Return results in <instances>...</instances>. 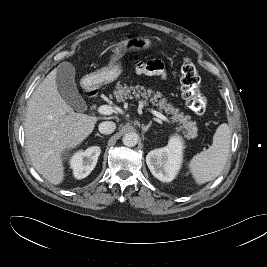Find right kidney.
<instances>
[{"label": "right kidney", "instance_id": "ca27d5eb", "mask_svg": "<svg viewBox=\"0 0 267 267\" xmlns=\"http://www.w3.org/2000/svg\"><path fill=\"white\" fill-rule=\"evenodd\" d=\"M101 149L98 146L89 147L85 151H79L70 160V166L77 179L87 177L97 164Z\"/></svg>", "mask_w": 267, "mask_h": 267}]
</instances>
